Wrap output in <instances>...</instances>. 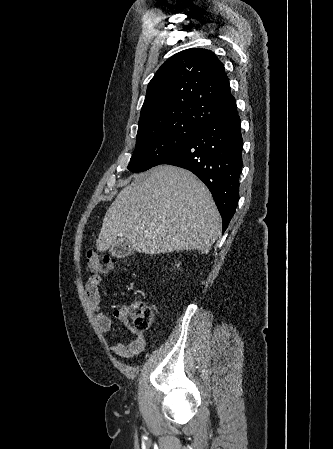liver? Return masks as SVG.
Returning a JSON list of instances; mask_svg holds the SVG:
<instances>
[{"mask_svg":"<svg viewBox=\"0 0 333 449\" xmlns=\"http://www.w3.org/2000/svg\"><path fill=\"white\" fill-rule=\"evenodd\" d=\"M132 177L106 212L97 250L105 252L121 237L139 253L207 254L222 224L207 187L190 171L171 165Z\"/></svg>","mask_w":333,"mask_h":449,"instance_id":"6515ba94","label":"liver"}]
</instances>
